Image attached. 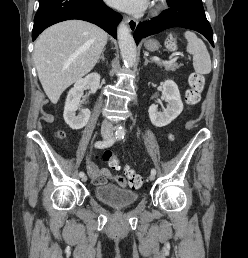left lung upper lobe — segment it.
<instances>
[{
  "label": "left lung upper lobe",
  "mask_w": 248,
  "mask_h": 258,
  "mask_svg": "<svg viewBox=\"0 0 248 258\" xmlns=\"http://www.w3.org/2000/svg\"><path fill=\"white\" fill-rule=\"evenodd\" d=\"M168 2L174 3V2H180V1H184V0H167ZM196 1H201V0H196Z\"/></svg>",
  "instance_id": "obj_1"
}]
</instances>
